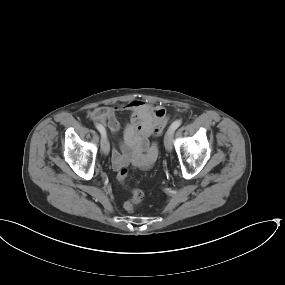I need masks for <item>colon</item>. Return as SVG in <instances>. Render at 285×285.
<instances>
[{"label": "colon", "mask_w": 285, "mask_h": 285, "mask_svg": "<svg viewBox=\"0 0 285 285\" xmlns=\"http://www.w3.org/2000/svg\"><path fill=\"white\" fill-rule=\"evenodd\" d=\"M164 110V109H163ZM162 112L159 113L161 115ZM167 123V118H162L158 121L156 125V129L154 131L155 136H159ZM128 169L126 167H123L117 171V180L119 181L120 184L123 186H128ZM144 197L143 192L140 189H131V198L127 200L124 204L125 210L128 212H132L135 209L136 204L140 203Z\"/></svg>", "instance_id": "obj_1"}]
</instances>
